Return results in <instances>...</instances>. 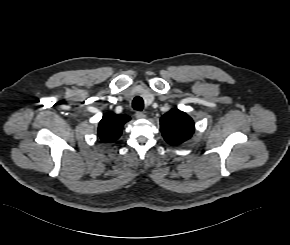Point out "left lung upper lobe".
Wrapping results in <instances>:
<instances>
[{"label":"left lung upper lobe","instance_id":"1","mask_svg":"<svg viewBox=\"0 0 290 245\" xmlns=\"http://www.w3.org/2000/svg\"><path fill=\"white\" fill-rule=\"evenodd\" d=\"M161 132L171 145H178L190 139L194 132V122L185 112L172 109L160 119Z\"/></svg>","mask_w":290,"mask_h":245}]
</instances>
